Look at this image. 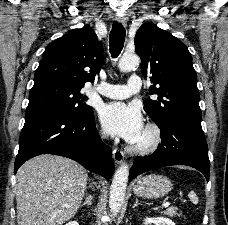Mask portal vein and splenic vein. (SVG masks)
I'll list each match as a JSON object with an SVG mask.
<instances>
[{"label":"portal vein and splenic vein","mask_w":228,"mask_h":225,"mask_svg":"<svg viewBox=\"0 0 228 225\" xmlns=\"http://www.w3.org/2000/svg\"><path fill=\"white\" fill-rule=\"evenodd\" d=\"M183 197H174L173 198V201L174 202H183ZM169 202H162V207H168V204Z\"/></svg>","instance_id":"portal-vein-and-splenic-vein-1"}]
</instances>
